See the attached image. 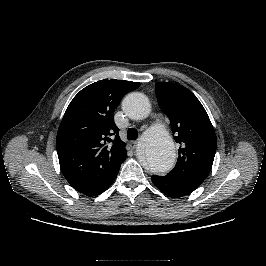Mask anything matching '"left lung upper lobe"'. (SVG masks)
I'll return each mask as SVG.
<instances>
[{"instance_id":"left-lung-upper-lobe-1","label":"left lung upper lobe","mask_w":266,"mask_h":266,"mask_svg":"<svg viewBox=\"0 0 266 266\" xmlns=\"http://www.w3.org/2000/svg\"><path fill=\"white\" fill-rule=\"evenodd\" d=\"M156 95L180 144L177 163L168 175L200 186L212 168L217 147L211 121L197 97L184 86L157 82Z\"/></svg>"}]
</instances>
